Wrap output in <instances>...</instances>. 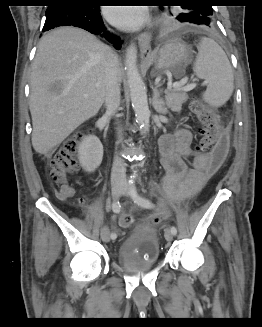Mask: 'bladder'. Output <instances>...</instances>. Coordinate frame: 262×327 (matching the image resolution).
<instances>
[{"mask_svg": "<svg viewBox=\"0 0 262 327\" xmlns=\"http://www.w3.org/2000/svg\"><path fill=\"white\" fill-rule=\"evenodd\" d=\"M118 256L122 261L145 257L150 265L156 264L160 260L158 233L149 229L132 232L119 246Z\"/></svg>", "mask_w": 262, "mask_h": 327, "instance_id": "31cf9c89", "label": "bladder"}]
</instances>
